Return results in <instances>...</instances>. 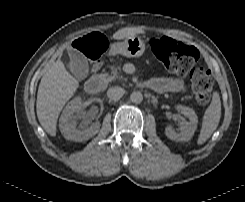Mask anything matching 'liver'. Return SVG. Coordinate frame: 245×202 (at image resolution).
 I'll return each instance as SVG.
<instances>
[{
    "label": "liver",
    "mask_w": 245,
    "mask_h": 202,
    "mask_svg": "<svg viewBox=\"0 0 245 202\" xmlns=\"http://www.w3.org/2000/svg\"><path fill=\"white\" fill-rule=\"evenodd\" d=\"M143 33L140 28L128 27L113 34L125 39ZM79 82L66 70L61 60L51 63L43 75L37 93L36 112L44 130L56 136L57 120L66 102L75 94Z\"/></svg>",
    "instance_id": "6515ba94"
}]
</instances>
